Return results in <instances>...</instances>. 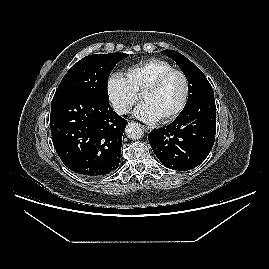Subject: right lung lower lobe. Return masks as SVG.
Wrapping results in <instances>:
<instances>
[{
	"label": "right lung lower lobe",
	"instance_id": "obj_1",
	"mask_svg": "<svg viewBox=\"0 0 269 269\" xmlns=\"http://www.w3.org/2000/svg\"><path fill=\"white\" fill-rule=\"evenodd\" d=\"M128 122L109 102L80 94L56 96L50 127L57 154L70 170L86 177L104 176L120 162Z\"/></svg>",
	"mask_w": 269,
	"mask_h": 269
}]
</instances>
